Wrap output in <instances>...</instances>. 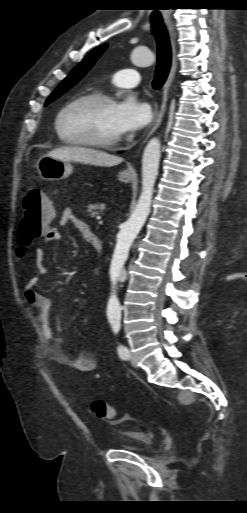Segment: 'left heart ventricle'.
I'll return each mask as SVG.
<instances>
[{"instance_id":"obj_1","label":"left heart ventricle","mask_w":247,"mask_h":513,"mask_svg":"<svg viewBox=\"0 0 247 513\" xmlns=\"http://www.w3.org/2000/svg\"><path fill=\"white\" fill-rule=\"evenodd\" d=\"M115 103L82 102L72 106L61 120L68 138L110 140L121 134L115 122Z\"/></svg>"}]
</instances>
